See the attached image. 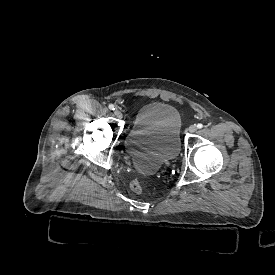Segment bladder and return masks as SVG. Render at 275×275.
I'll list each match as a JSON object with an SVG mask.
<instances>
[{"mask_svg": "<svg viewBox=\"0 0 275 275\" xmlns=\"http://www.w3.org/2000/svg\"><path fill=\"white\" fill-rule=\"evenodd\" d=\"M181 115L170 104L150 102L141 106L127 142L132 164L153 173L159 164L176 158L181 150Z\"/></svg>", "mask_w": 275, "mask_h": 275, "instance_id": "1", "label": "bladder"}]
</instances>
